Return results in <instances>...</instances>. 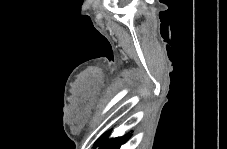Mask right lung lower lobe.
Returning <instances> with one entry per match:
<instances>
[{"label": "right lung lower lobe", "instance_id": "obj_1", "mask_svg": "<svg viewBox=\"0 0 227 149\" xmlns=\"http://www.w3.org/2000/svg\"><path fill=\"white\" fill-rule=\"evenodd\" d=\"M110 131H108L105 135H103L100 139H98L94 147L99 146L103 149H119L120 146L127 142V140L131 137V133H127L122 137L109 139Z\"/></svg>", "mask_w": 227, "mask_h": 149}]
</instances>
